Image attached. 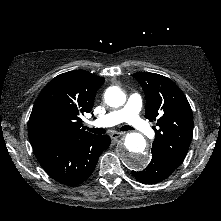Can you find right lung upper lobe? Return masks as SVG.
<instances>
[{
	"label": "right lung upper lobe",
	"instance_id": "1",
	"mask_svg": "<svg viewBox=\"0 0 221 221\" xmlns=\"http://www.w3.org/2000/svg\"><path fill=\"white\" fill-rule=\"evenodd\" d=\"M103 77L74 70L53 78L39 94L28 124L32 147L75 141L93 134L82 128L81 115L92 110Z\"/></svg>",
	"mask_w": 221,
	"mask_h": 221
}]
</instances>
